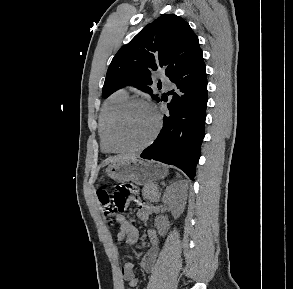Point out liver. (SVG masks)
I'll use <instances>...</instances> for the list:
<instances>
[{
    "label": "liver",
    "instance_id": "obj_1",
    "mask_svg": "<svg viewBox=\"0 0 293 289\" xmlns=\"http://www.w3.org/2000/svg\"><path fill=\"white\" fill-rule=\"evenodd\" d=\"M132 158H136V156L135 155H118V156H114L112 158L107 159L104 162V165H107V164L113 163V162H117V161H121V160L132 159Z\"/></svg>",
    "mask_w": 293,
    "mask_h": 289
}]
</instances>
